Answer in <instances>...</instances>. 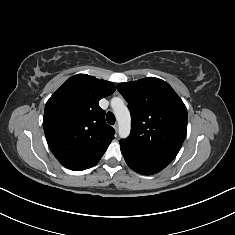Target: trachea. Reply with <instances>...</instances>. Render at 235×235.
<instances>
[{
	"label": "trachea",
	"mask_w": 235,
	"mask_h": 235,
	"mask_svg": "<svg viewBox=\"0 0 235 235\" xmlns=\"http://www.w3.org/2000/svg\"><path fill=\"white\" fill-rule=\"evenodd\" d=\"M106 120H107V122H108L110 125L115 124V121H116L115 116H114V114H113L112 112H108V113H107V115H106Z\"/></svg>",
	"instance_id": "obj_1"
}]
</instances>
